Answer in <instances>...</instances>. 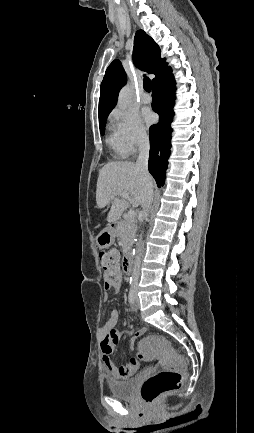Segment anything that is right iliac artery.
Here are the masks:
<instances>
[{
    "label": "right iliac artery",
    "instance_id": "obj_1",
    "mask_svg": "<svg viewBox=\"0 0 254 433\" xmlns=\"http://www.w3.org/2000/svg\"><path fill=\"white\" fill-rule=\"evenodd\" d=\"M129 303L134 304L135 302V293L134 290L131 288L128 295Z\"/></svg>",
    "mask_w": 254,
    "mask_h": 433
}]
</instances>
